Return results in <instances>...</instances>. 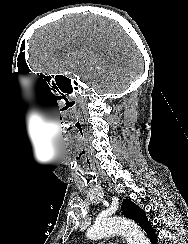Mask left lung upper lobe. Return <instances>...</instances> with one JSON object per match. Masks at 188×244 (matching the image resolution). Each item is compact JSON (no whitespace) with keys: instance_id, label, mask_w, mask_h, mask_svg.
Masks as SVG:
<instances>
[{"instance_id":"obj_1","label":"left lung upper lobe","mask_w":188,"mask_h":244,"mask_svg":"<svg viewBox=\"0 0 188 244\" xmlns=\"http://www.w3.org/2000/svg\"><path fill=\"white\" fill-rule=\"evenodd\" d=\"M121 210L125 217L134 220L138 224L140 223L142 217L145 215V212L129 199L124 200Z\"/></svg>"}]
</instances>
